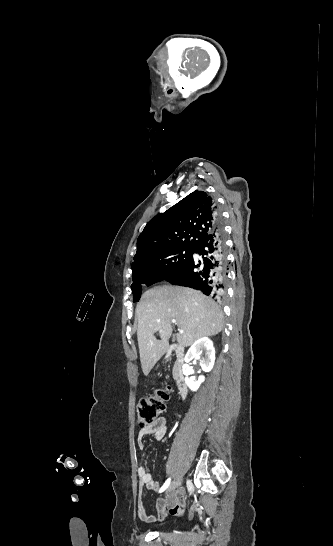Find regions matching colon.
I'll list each match as a JSON object with an SVG mask.
<instances>
[{"instance_id": "1", "label": "colon", "mask_w": 333, "mask_h": 546, "mask_svg": "<svg viewBox=\"0 0 333 546\" xmlns=\"http://www.w3.org/2000/svg\"><path fill=\"white\" fill-rule=\"evenodd\" d=\"M170 396V387L155 389L149 397L143 398L137 405V420L141 428H146L158 419L165 410Z\"/></svg>"}]
</instances>
